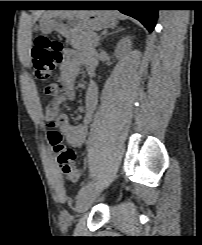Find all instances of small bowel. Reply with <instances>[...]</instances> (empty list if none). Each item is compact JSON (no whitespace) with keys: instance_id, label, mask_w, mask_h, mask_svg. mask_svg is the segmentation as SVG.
<instances>
[{"instance_id":"obj_1","label":"small bowel","mask_w":202,"mask_h":245,"mask_svg":"<svg viewBox=\"0 0 202 245\" xmlns=\"http://www.w3.org/2000/svg\"><path fill=\"white\" fill-rule=\"evenodd\" d=\"M81 67H84L88 73H93L96 68L95 58L93 56L84 57L75 50H66L60 66L58 84L51 85L54 88L52 94L54 100L42 114L44 122H56L73 147H80L85 142L88 126L92 121L98 102V87L95 83H90L85 92L84 114L79 124L71 123L68 114L59 113L61 103L72 101L75 98L74 88Z\"/></svg>"}]
</instances>
